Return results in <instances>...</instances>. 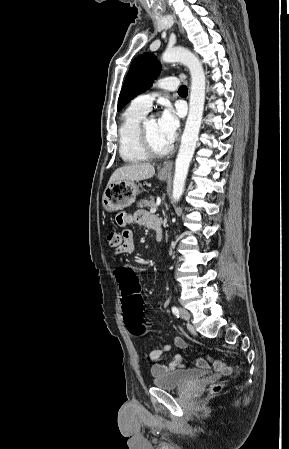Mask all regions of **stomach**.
Instances as JSON below:
<instances>
[{
  "label": "stomach",
  "instance_id": "0dacf381",
  "mask_svg": "<svg viewBox=\"0 0 289 449\" xmlns=\"http://www.w3.org/2000/svg\"><path fill=\"white\" fill-rule=\"evenodd\" d=\"M168 174H158L160 180H166ZM139 193V185L131 180H120L108 185L102 197L103 208L114 212L129 207L135 202Z\"/></svg>",
  "mask_w": 289,
  "mask_h": 449
}]
</instances>
